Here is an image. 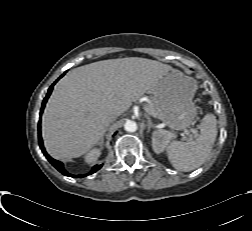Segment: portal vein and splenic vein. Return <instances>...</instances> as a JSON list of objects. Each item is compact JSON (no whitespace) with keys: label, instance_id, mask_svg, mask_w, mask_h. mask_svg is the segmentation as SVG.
Returning <instances> with one entry per match:
<instances>
[{"label":"portal vein and splenic vein","instance_id":"portal-vein-and-splenic-vein-1","mask_svg":"<svg viewBox=\"0 0 252 231\" xmlns=\"http://www.w3.org/2000/svg\"><path fill=\"white\" fill-rule=\"evenodd\" d=\"M147 112H148V108L147 107H145L144 108ZM184 134H186V135H189V131L188 130H184V132H183ZM198 135V132H197V130H192V135L191 136H194V137H196Z\"/></svg>","mask_w":252,"mask_h":231}]
</instances>
